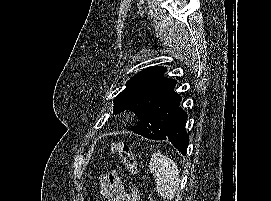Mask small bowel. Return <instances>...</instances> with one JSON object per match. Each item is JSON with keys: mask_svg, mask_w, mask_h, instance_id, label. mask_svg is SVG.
Here are the masks:
<instances>
[{"mask_svg": "<svg viewBox=\"0 0 271 201\" xmlns=\"http://www.w3.org/2000/svg\"><path fill=\"white\" fill-rule=\"evenodd\" d=\"M103 201H131L118 174L110 172L100 177Z\"/></svg>", "mask_w": 271, "mask_h": 201, "instance_id": "c3829d8e", "label": "small bowel"}]
</instances>
